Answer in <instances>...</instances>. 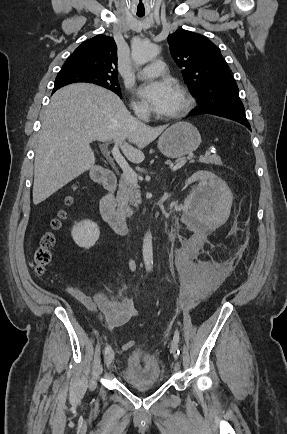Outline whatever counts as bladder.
<instances>
[{
  "label": "bladder",
  "instance_id": "obj_1",
  "mask_svg": "<svg viewBox=\"0 0 287 434\" xmlns=\"http://www.w3.org/2000/svg\"><path fill=\"white\" fill-rule=\"evenodd\" d=\"M120 377L126 385L140 388L161 384L163 373L156 358L133 354L120 371Z\"/></svg>",
  "mask_w": 287,
  "mask_h": 434
}]
</instances>
